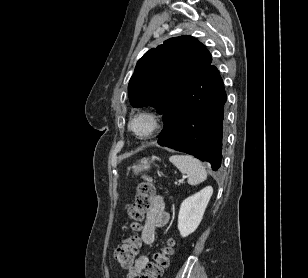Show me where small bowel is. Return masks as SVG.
I'll return each instance as SVG.
<instances>
[{
    "label": "small bowel",
    "instance_id": "c3829d8e",
    "mask_svg": "<svg viewBox=\"0 0 308 278\" xmlns=\"http://www.w3.org/2000/svg\"><path fill=\"white\" fill-rule=\"evenodd\" d=\"M170 219L167 211L165 198L162 195H157L153 199V204L150 210L146 213L143 219L141 241L145 245H151L156 239V229L165 227ZM149 257L146 254L138 256L129 269L127 278H136L147 267Z\"/></svg>",
    "mask_w": 308,
    "mask_h": 278
}]
</instances>
